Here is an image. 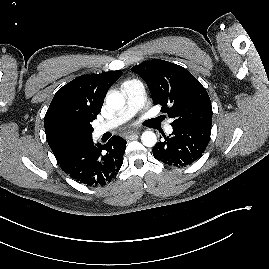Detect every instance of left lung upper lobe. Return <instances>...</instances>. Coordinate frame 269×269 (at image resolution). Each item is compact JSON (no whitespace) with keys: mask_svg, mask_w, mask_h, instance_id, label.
<instances>
[{"mask_svg":"<svg viewBox=\"0 0 269 269\" xmlns=\"http://www.w3.org/2000/svg\"><path fill=\"white\" fill-rule=\"evenodd\" d=\"M131 70L147 83L155 105L173 118L171 126L211 127L212 106L206 89L185 68L155 59Z\"/></svg>","mask_w":269,"mask_h":269,"instance_id":"obj_1","label":"left lung upper lobe"}]
</instances>
